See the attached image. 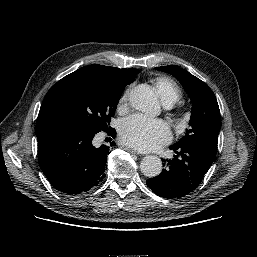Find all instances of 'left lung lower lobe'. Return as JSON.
I'll use <instances>...</instances> for the list:
<instances>
[{"label":"left lung lower lobe","instance_id":"left-lung-lower-lobe-1","mask_svg":"<svg viewBox=\"0 0 257 257\" xmlns=\"http://www.w3.org/2000/svg\"><path fill=\"white\" fill-rule=\"evenodd\" d=\"M176 155L163 160L165 169L147 180V186L158 196L181 198L198 187L216 157V149L200 144L172 145Z\"/></svg>","mask_w":257,"mask_h":257}]
</instances>
